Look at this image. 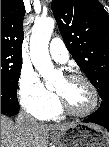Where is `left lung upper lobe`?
<instances>
[{
  "label": "left lung upper lobe",
  "mask_w": 109,
  "mask_h": 147,
  "mask_svg": "<svg viewBox=\"0 0 109 147\" xmlns=\"http://www.w3.org/2000/svg\"><path fill=\"white\" fill-rule=\"evenodd\" d=\"M65 45L97 89L109 96V15L98 0H53Z\"/></svg>",
  "instance_id": "obj_1"
}]
</instances>
